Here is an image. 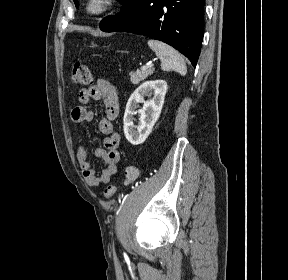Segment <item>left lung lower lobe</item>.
<instances>
[{
	"mask_svg": "<svg viewBox=\"0 0 288 280\" xmlns=\"http://www.w3.org/2000/svg\"><path fill=\"white\" fill-rule=\"evenodd\" d=\"M205 0H133L99 24L105 32H131L163 41L195 67L204 34Z\"/></svg>",
	"mask_w": 288,
	"mask_h": 280,
	"instance_id": "1",
	"label": "left lung lower lobe"
}]
</instances>
